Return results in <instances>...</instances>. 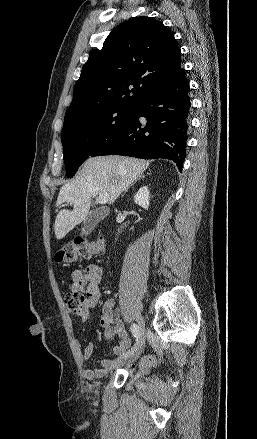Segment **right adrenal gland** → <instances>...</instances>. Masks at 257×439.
<instances>
[{
	"label": "right adrenal gland",
	"mask_w": 257,
	"mask_h": 439,
	"mask_svg": "<svg viewBox=\"0 0 257 439\" xmlns=\"http://www.w3.org/2000/svg\"><path fill=\"white\" fill-rule=\"evenodd\" d=\"M144 177H145V175H141V176H139L134 182H132V183L130 184V186H133L137 181L143 179ZM130 186L127 187V188L125 189V193L128 191V189L130 188Z\"/></svg>",
	"instance_id": "1"
}]
</instances>
